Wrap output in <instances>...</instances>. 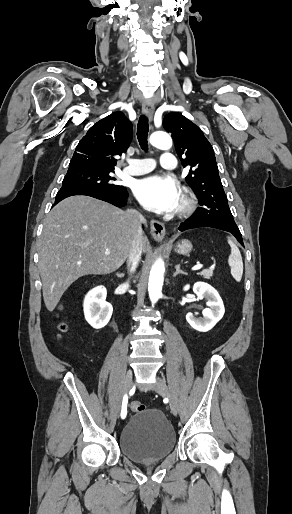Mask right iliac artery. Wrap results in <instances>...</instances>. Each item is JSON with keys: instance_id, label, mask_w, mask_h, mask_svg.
<instances>
[{"instance_id": "right-iliac-artery-1", "label": "right iliac artery", "mask_w": 292, "mask_h": 514, "mask_svg": "<svg viewBox=\"0 0 292 514\" xmlns=\"http://www.w3.org/2000/svg\"><path fill=\"white\" fill-rule=\"evenodd\" d=\"M127 403L128 396L125 394L122 401V410H121V418L124 419L127 415Z\"/></svg>"}]
</instances>
